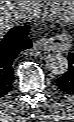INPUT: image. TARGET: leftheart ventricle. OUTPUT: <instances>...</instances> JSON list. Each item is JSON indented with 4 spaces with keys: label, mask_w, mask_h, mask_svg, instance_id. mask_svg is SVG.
I'll return each instance as SVG.
<instances>
[{
    "label": "left heart ventricle",
    "mask_w": 74,
    "mask_h": 122,
    "mask_svg": "<svg viewBox=\"0 0 74 122\" xmlns=\"http://www.w3.org/2000/svg\"><path fill=\"white\" fill-rule=\"evenodd\" d=\"M73 6V1H59L58 9L63 16L66 15L67 11Z\"/></svg>",
    "instance_id": "1"
}]
</instances>
